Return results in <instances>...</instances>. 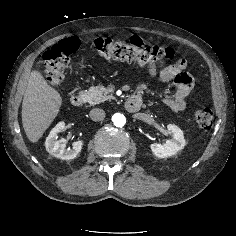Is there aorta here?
Wrapping results in <instances>:
<instances>
[{
	"label": "aorta",
	"mask_w": 236,
	"mask_h": 236,
	"mask_svg": "<svg viewBox=\"0 0 236 236\" xmlns=\"http://www.w3.org/2000/svg\"><path fill=\"white\" fill-rule=\"evenodd\" d=\"M112 121L116 127H123L126 124V118L121 113H115L112 116Z\"/></svg>",
	"instance_id": "1"
}]
</instances>
